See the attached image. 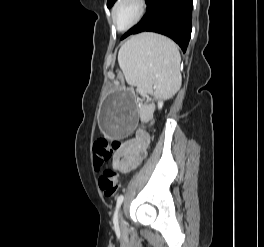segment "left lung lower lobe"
<instances>
[{"label":"left lung lower lobe","mask_w":264,"mask_h":247,"mask_svg":"<svg viewBox=\"0 0 264 247\" xmlns=\"http://www.w3.org/2000/svg\"><path fill=\"white\" fill-rule=\"evenodd\" d=\"M146 3L147 12L142 20L121 40L132 34L152 31L170 37L185 52L192 29V0H146Z\"/></svg>","instance_id":"0a47b994"}]
</instances>
